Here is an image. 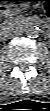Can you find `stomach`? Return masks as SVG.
<instances>
[{
	"label": "stomach",
	"mask_w": 50,
	"mask_h": 111,
	"mask_svg": "<svg viewBox=\"0 0 50 111\" xmlns=\"http://www.w3.org/2000/svg\"><path fill=\"white\" fill-rule=\"evenodd\" d=\"M23 1L24 2H21L20 4H14V3L2 4L0 6L1 13L5 16H12L21 12L22 10L28 8L30 5V2H28L29 0H23Z\"/></svg>",
	"instance_id": "stomach-1"
}]
</instances>
